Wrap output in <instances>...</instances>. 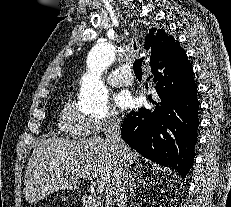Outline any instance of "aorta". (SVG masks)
<instances>
[{"label":"aorta","mask_w":231,"mask_h":207,"mask_svg":"<svg viewBox=\"0 0 231 207\" xmlns=\"http://www.w3.org/2000/svg\"><path fill=\"white\" fill-rule=\"evenodd\" d=\"M115 47L109 41L95 44L88 53V71L81 81L79 105L93 113L107 112L108 89L103 84L101 75L115 59Z\"/></svg>","instance_id":"762f6f07"}]
</instances>
